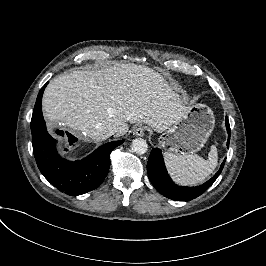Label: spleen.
Returning <instances> with one entry per match:
<instances>
[{"label": "spleen", "mask_w": 266, "mask_h": 266, "mask_svg": "<svg viewBox=\"0 0 266 266\" xmlns=\"http://www.w3.org/2000/svg\"><path fill=\"white\" fill-rule=\"evenodd\" d=\"M208 159L196 154L165 153L169 171L176 182L181 184H196L204 179L215 169L217 164V148L212 147Z\"/></svg>", "instance_id": "spleen-1"}]
</instances>
